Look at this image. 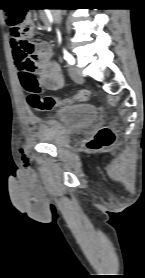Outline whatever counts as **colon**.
<instances>
[{
	"mask_svg": "<svg viewBox=\"0 0 145 278\" xmlns=\"http://www.w3.org/2000/svg\"><path fill=\"white\" fill-rule=\"evenodd\" d=\"M6 21L9 27L10 35L20 39L21 49L25 52L34 50L33 44L27 39L30 26L29 12L23 8H15L8 12ZM22 84L27 92V102L34 111H47L59 106H68L86 101L90 96V91L85 89L71 97L58 98L52 95H42L38 85L37 76L34 73L24 75ZM115 139V133L112 127L102 126L96 136L88 143V147L93 150L102 149L109 146ZM24 154L27 148L22 146Z\"/></svg>",
	"mask_w": 145,
	"mask_h": 278,
	"instance_id": "5ec220e1",
	"label": "colon"
}]
</instances>
